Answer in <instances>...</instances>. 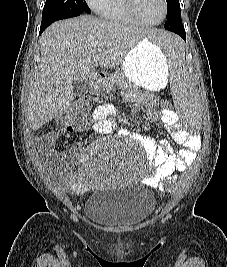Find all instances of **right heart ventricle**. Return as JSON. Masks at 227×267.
I'll return each instance as SVG.
<instances>
[{"label":"right heart ventricle","mask_w":227,"mask_h":267,"mask_svg":"<svg viewBox=\"0 0 227 267\" xmlns=\"http://www.w3.org/2000/svg\"><path fill=\"white\" fill-rule=\"evenodd\" d=\"M103 18L124 24H140L127 11L124 0H106L97 10Z\"/></svg>","instance_id":"obj_1"}]
</instances>
